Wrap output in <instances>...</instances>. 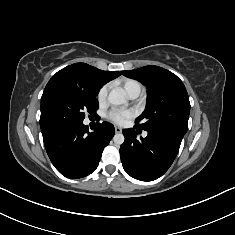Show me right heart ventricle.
<instances>
[{
    "label": "right heart ventricle",
    "mask_w": 235,
    "mask_h": 235,
    "mask_svg": "<svg viewBox=\"0 0 235 235\" xmlns=\"http://www.w3.org/2000/svg\"><path fill=\"white\" fill-rule=\"evenodd\" d=\"M123 87L127 93H130L131 91L134 90H139L141 91V84L133 79H125L123 81Z\"/></svg>",
    "instance_id": "e07e8e85"
}]
</instances>
